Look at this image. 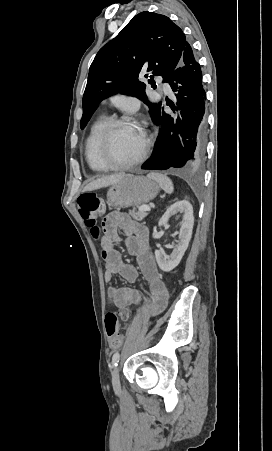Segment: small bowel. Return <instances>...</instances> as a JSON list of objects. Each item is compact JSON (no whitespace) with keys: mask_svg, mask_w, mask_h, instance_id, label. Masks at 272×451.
Instances as JSON below:
<instances>
[{"mask_svg":"<svg viewBox=\"0 0 272 451\" xmlns=\"http://www.w3.org/2000/svg\"><path fill=\"white\" fill-rule=\"evenodd\" d=\"M119 242H123L128 253L135 257V266L122 260L120 252L114 247ZM100 247L106 267L104 273L106 282H111L114 275L118 274L126 281L134 283L141 274L149 286L151 298L147 301V305L150 310L157 313L167 306L168 295L150 251L149 232L145 225L125 213L110 212L102 222ZM108 296L110 304L120 309H127L131 305H139L145 301L142 292L130 287H110ZM119 337L122 343L123 337L121 335Z\"/></svg>","mask_w":272,"mask_h":451,"instance_id":"small-bowel-1","label":"small bowel"}]
</instances>
